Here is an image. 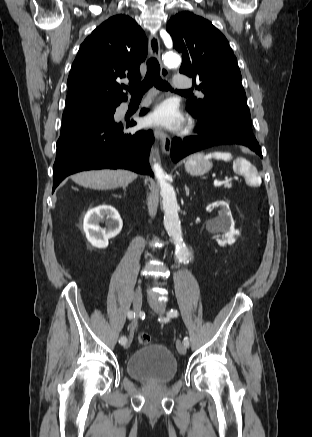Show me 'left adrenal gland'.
I'll use <instances>...</instances> for the list:
<instances>
[{
    "label": "left adrenal gland",
    "mask_w": 312,
    "mask_h": 437,
    "mask_svg": "<svg viewBox=\"0 0 312 437\" xmlns=\"http://www.w3.org/2000/svg\"><path fill=\"white\" fill-rule=\"evenodd\" d=\"M186 196H189V188L185 185Z\"/></svg>",
    "instance_id": "obj_1"
}]
</instances>
